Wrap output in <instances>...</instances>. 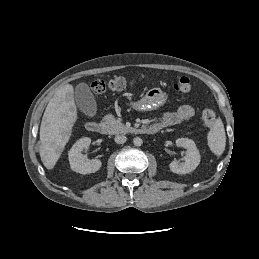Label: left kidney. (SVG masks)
<instances>
[{
    "mask_svg": "<svg viewBox=\"0 0 259 259\" xmlns=\"http://www.w3.org/2000/svg\"><path fill=\"white\" fill-rule=\"evenodd\" d=\"M176 145L187 150L185 161L183 163H178L177 161L171 162L169 164L170 170L176 174H187L195 170L201 159L195 142L188 138H178L176 140Z\"/></svg>",
    "mask_w": 259,
    "mask_h": 259,
    "instance_id": "obj_1",
    "label": "left kidney"
}]
</instances>
